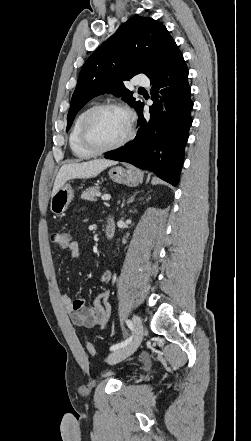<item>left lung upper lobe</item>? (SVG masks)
I'll return each mask as SVG.
<instances>
[{"label": "left lung upper lobe", "instance_id": "obj_1", "mask_svg": "<svg viewBox=\"0 0 251 441\" xmlns=\"http://www.w3.org/2000/svg\"><path fill=\"white\" fill-rule=\"evenodd\" d=\"M175 45L166 27L152 18L134 16L123 23L83 65L72 95L66 130L88 101L104 93L122 96L137 110L142 102L132 96L123 82L139 73L153 76Z\"/></svg>", "mask_w": 251, "mask_h": 441}]
</instances>
